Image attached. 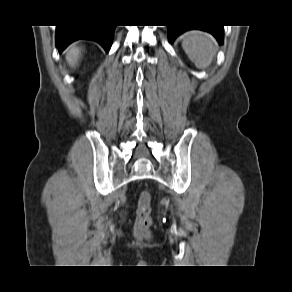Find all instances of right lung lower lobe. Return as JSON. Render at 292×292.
Returning a JSON list of instances; mask_svg holds the SVG:
<instances>
[{
    "label": "right lung lower lobe",
    "mask_w": 292,
    "mask_h": 292,
    "mask_svg": "<svg viewBox=\"0 0 292 292\" xmlns=\"http://www.w3.org/2000/svg\"><path fill=\"white\" fill-rule=\"evenodd\" d=\"M115 26L77 25L58 26L56 45L61 53L70 43L76 40H93L98 42L108 52L110 50Z\"/></svg>",
    "instance_id": "1"
}]
</instances>
